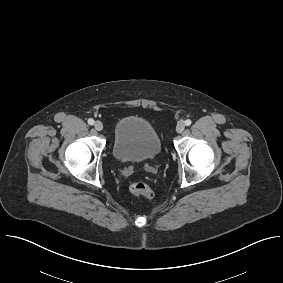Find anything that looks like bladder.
<instances>
[{
    "label": "bladder",
    "mask_w": 283,
    "mask_h": 283,
    "mask_svg": "<svg viewBox=\"0 0 283 283\" xmlns=\"http://www.w3.org/2000/svg\"><path fill=\"white\" fill-rule=\"evenodd\" d=\"M160 137L152 124L142 117L127 116L114 128L112 152L117 160L144 162L161 153Z\"/></svg>",
    "instance_id": "bladder-1"
}]
</instances>
